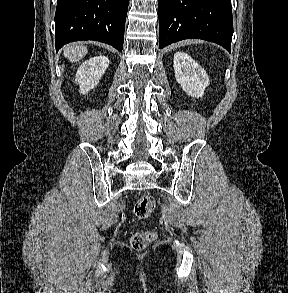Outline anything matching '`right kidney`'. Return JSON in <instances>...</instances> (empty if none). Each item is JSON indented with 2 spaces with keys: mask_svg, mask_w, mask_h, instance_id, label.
<instances>
[{
  "mask_svg": "<svg viewBox=\"0 0 288 293\" xmlns=\"http://www.w3.org/2000/svg\"><path fill=\"white\" fill-rule=\"evenodd\" d=\"M109 66V59L97 56L85 61L76 72V83L79 84L80 93L86 94L95 86Z\"/></svg>",
  "mask_w": 288,
  "mask_h": 293,
  "instance_id": "obj_1",
  "label": "right kidney"
}]
</instances>
